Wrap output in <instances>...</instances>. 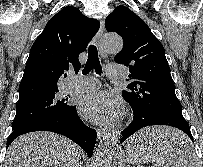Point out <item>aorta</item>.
Listing matches in <instances>:
<instances>
[{"instance_id":"aorta-1","label":"aorta","mask_w":203,"mask_h":167,"mask_svg":"<svg viewBox=\"0 0 203 167\" xmlns=\"http://www.w3.org/2000/svg\"><path fill=\"white\" fill-rule=\"evenodd\" d=\"M123 41L117 34H106L101 41V49L105 53L116 54L121 51ZM120 140V132L106 135L95 150L93 167H111L113 156Z\"/></svg>"}]
</instances>
